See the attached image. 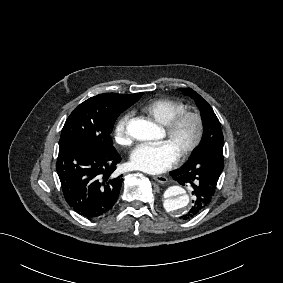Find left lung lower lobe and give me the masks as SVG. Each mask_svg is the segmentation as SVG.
Segmentation results:
<instances>
[{
    "instance_id": "0a47b994",
    "label": "left lung lower lobe",
    "mask_w": 283,
    "mask_h": 283,
    "mask_svg": "<svg viewBox=\"0 0 283 283\" xmlns=\"http://www.w3.org/2000/svg\"><path fill=\"white\" fill-rule=\"evenodd\" d=\"M223 168V147L211 146L194 155L181 169L171 172L173 179L181 185L187 183L193 187V206L183 216L185 220L199 214L210 203Z\"/></svg>"
}]
</instances>
